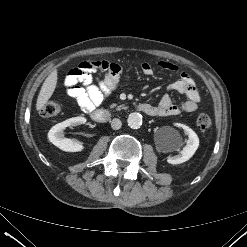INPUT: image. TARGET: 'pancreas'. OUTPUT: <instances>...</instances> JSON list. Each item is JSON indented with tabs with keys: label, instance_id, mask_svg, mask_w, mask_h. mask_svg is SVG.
<instances>
[{
	"label": "pancreas",
	"instance_id": "obj_1",
	"mask_svg": "<svg viewBox=\"0 0 247 247\" xmlns=\"http://www.w3.org/2000/svg\"><path fill=\"white\" fill-rule=\"evenodd\" d=\"M115 106H116L115 104L111 105L112 108L115 107ZM126 108L127 107L124 104H122V105L117 107V110L126 109Z\"/></svg>",
	"mask_w": 247,
	"mask_h": 247
}]
</instances>
